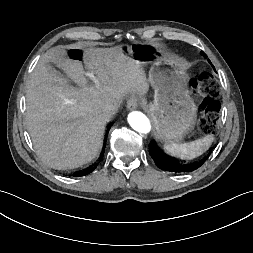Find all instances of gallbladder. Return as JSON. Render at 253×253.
<instances>
[{
  "instance_id": "bac80fb5",
  "label": "gallbladder",
  "mask_w": 253,
  "mask_h": 253,
  "mask_svg": "<svg viewBox=\"0 0 253 253\" xmlns=\"http://www.w3.org/2000/svg\"><path fill=\"white\" fill-rule=\"evenodd\" d=\"M48 68H49V70H50L51 72H53L55 75L64 78L63 74H61L59 71H57L53 66L49 65Z\"/></svg>"
}]
</instances>
